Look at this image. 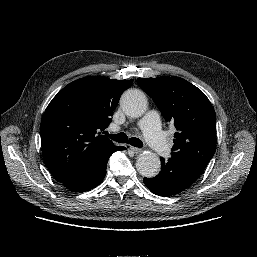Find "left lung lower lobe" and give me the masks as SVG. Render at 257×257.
Here are the masks:
<instances>
[{
    "label": "left lung lower lobe",
    "instance_id": "0a47b994",
    "mask_svg": "<svg viewBox=\"0 0 257 257\" xmlns=\"http://www.w3.org/2000/svg\"><path fill=\"white\" fill-rule=\"evenodd\" d=\"M161 159V171L153 178H144L145 185L154 194L167 197L189 188L201 175L202 170L189 162L171 157Z\"/></svg>",
    "mask_w": 257,
    "mask_h": 257
}]
</instances>
